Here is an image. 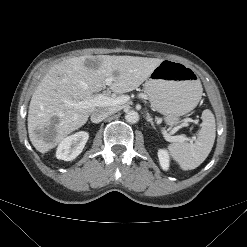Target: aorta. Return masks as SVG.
Masks as SVG:
<instances>
[{"label":"aorta","instance_id":"762f6f07","mask_svg":"<svg viewBox=\"0 0 247 247\" xmlns=\"http://www.w3.org/2000/svg\"><path fill=\"white\" fill-rule=\"evenodd\" d=\"M125 119L128 123H137L139 121V114L134 110L128 111L125 114Z\"/></svg>","mask_w":247,"mask_h":247}]
</instances>
